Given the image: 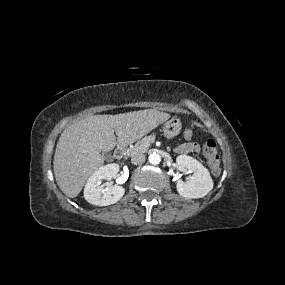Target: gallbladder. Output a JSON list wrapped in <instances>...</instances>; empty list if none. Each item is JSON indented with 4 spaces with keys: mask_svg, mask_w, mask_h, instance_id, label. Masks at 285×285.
I'll return each mask as SVG.
<instances>
[{
    "mask_svg": "<svg viewBox=\"0 0 285 285\" xmlns=\"http://www.w3.org/2000/svg\"><path fill=\"white\" fill-rule=\"evenodd\" d=\"M103 157L105 160H108V161H111L112 160V156L111 154L107 153V152H104L103 153Z\"/></svg>",
    "mask_w": 285,
    "mask_h": 285,
    "instance_id": "gallbladder-1",
    "label": "gallbladder"
}]
</instances>
